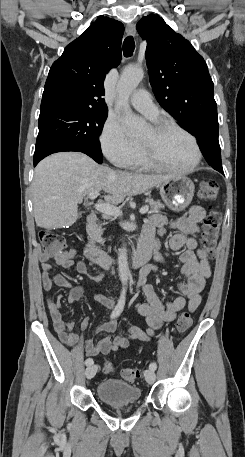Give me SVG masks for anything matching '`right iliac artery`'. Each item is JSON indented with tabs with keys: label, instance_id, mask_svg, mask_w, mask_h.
Returning <instances> with one entry per match:
<instances>
[{
	"label": "right iliac artery",
	"instance_id": "obj_1",
	"mask_svg": "<svg viewBox=\"0 0 245 457\" xmlns=\"http://www.w3.org/2000/svg\"><path fill=\"white\" fill-rule=\"evenodd\" d=\"M125 294V289H123V291L121 292V296L118 300L117 306L111 314V318L118 316L122 312L125 304ZM93 363L94 361L92 358H87L85 361L86 366L92 365Z\"/></svg>",
	"mask_w": 245,
	"mask_h": 457
}]
</instances>
